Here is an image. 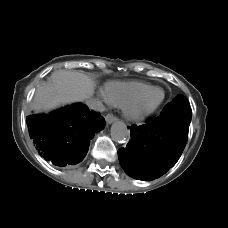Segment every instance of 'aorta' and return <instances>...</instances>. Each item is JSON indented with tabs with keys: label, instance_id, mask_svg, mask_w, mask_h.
<instances>
[{
	"label": "aorta",
	"instance_id": "obj_1",
	"mask_svg": "<svg viewBox=\"0 0 228 228\" xmlns=\"http://www.w3.org/2000/svg\"><path fill=\"white\" fill-rule=\"evenodd\" d=\"M129 130L122 121H116L111 126L112 140L118 143H124L129 137Z\"/></svg>",
	"mask_w": 228,
	"mask_h": 228
}]
</instances>
